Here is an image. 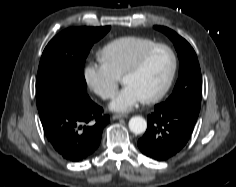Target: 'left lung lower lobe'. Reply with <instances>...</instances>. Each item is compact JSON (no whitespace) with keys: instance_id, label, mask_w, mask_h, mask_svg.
I'll return each mask as SVG.
<instances>
[{"instance_id":"0a47b994","label":"left lung lower lobe","mask_w":236,"mask_h":187,"mask_svg":"<svg viewBox=\"0 0 236 187\" xmlns=\"http://www.w3.org/2000/svg\"><path fill=\"white\" fill-rule=\"evenodd\" d=\"M198 115L186 108L155 105L154 112L148 116L147 130L138 140L139 149L154 160L169 159L187 143Z\"/></svg>"}]
</instances>
